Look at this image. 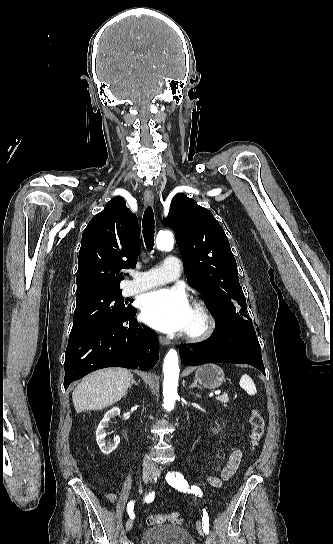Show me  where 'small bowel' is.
<instances>
[{"label":"small bowel","mask_w":333,"mask_h":544,"mask_svg":"<svg viewBox=\"0 0 333 544\" xmlns=\"http://www.w3.org/2000/svg\"><path fill=\"white\" fill-rule=\"evenodd\" d=\"M240 459H241L240 450L238 449L234 450L230 454L228 459L217 467L218 475L208 477L209 483L214 487H220L224 480H226L227 478H229L230 476L234 474V472L236 471L239 465ZM106 498L111 503L117 502V495L115 493H112V492L107 493Z\"/></svg>","instance_id":"small-bowel-1"}]
</instances>
